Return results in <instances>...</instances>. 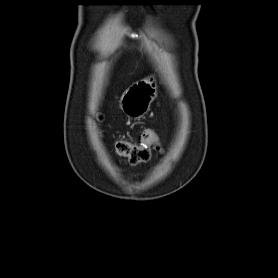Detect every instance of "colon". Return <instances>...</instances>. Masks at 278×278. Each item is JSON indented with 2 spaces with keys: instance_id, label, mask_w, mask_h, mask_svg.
Masks as SVG:
<instances>
[{
  "instance_id": "1",
  "label": "colon",
  "mask_w": 278,
  "mask_h": 278,
  "mask_svg": "<svg viewBox=\"0 0 278 278\" xmlns=\"http://www.w3.org/2000/svg\"><path fill=\"white\" fill-rule=\"evenodd\" d=\"M143 143L133 144L127 140L119 141L116 144V153L127 158L130 163L137 164L146 161L150 157V146L157 144L159 138L153 130H145L142 134Z\"/></svg>"
}]
</instances>
